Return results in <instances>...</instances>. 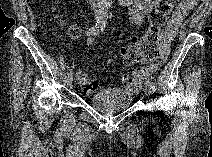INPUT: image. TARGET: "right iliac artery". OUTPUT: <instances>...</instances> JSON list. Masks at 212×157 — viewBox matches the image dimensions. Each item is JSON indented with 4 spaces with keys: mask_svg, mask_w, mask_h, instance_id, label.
<instances>
[{
    "mask_svg": "<svg viewBox=\"0 0 212 157\" xmlns=\"http://www.w3.org/2000/svg\"><path fill=\"white\" fill-rule=\"evenodd\" d=\"M107 18L108 16L106 14H101L98 19H97V22L96 24L89 28L87 31H86V35L90 36V35H97L99 34L105 27L106 25V22H107ZM72 70L70 69L68 71V75H72Z\"/></svg>",
    "mask_w": 212,
    "mask_h": 157,
    "instance_id": "82829eb1",
    "label": "right iliac artery"
}]
</instances>
